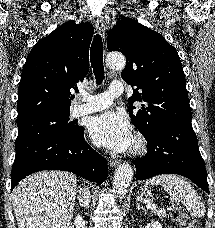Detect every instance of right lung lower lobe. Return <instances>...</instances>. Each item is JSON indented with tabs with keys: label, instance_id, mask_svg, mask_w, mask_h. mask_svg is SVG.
<instances>
[{
	"label": "right lung lower lobe",
	"instance_id": "1",
	"mask_svg": "<svg viewBox=\"0 0 215 228\" xmlns=\"http://www.w3.org/2000/svg\"><path fill=\"white\" fill-rule=\"evenodd\" d=\"M84 128L76 137L48 135L16 145L11 191L24 177L41 170H63L102 184L107 178L105 158L84 139Z\"/></svg>",
	"mask_w": 215,
	"mask_h": 228
}]
</instances>
